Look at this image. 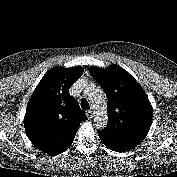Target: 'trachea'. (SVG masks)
Returning <instances> with one entry per match:
<instances>
[{
    "mask_svg": "<svg viewBox=\"0 0 177 177\" xmlns=\"http://www.w3.org/2000/svg\"><path fill=\"white\" fill-rule=\"evenodd\" d=\"M81 108L84 110L90 109V105H89L88 101L84 98L81 100Z\"/></svg>",
    "mask_w": 177,
    "mask_h": 177,
    "instance_id": "obj_1",
    "label": "trachea"
}]
</instances>
